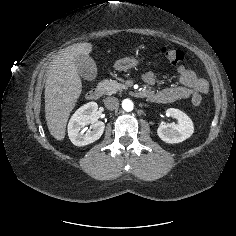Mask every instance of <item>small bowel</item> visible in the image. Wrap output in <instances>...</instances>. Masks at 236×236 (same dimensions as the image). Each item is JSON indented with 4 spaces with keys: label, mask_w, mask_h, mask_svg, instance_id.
Wrapping results in <instances>:
<instances>
[{
    "label": "small bowel",
    "mask_w": 236,
    "mask_h": 236,
    "mask_svg": "<svg viewBox=\"0 0 236 236\" xmlns=\"http://www.w3.org/2000/svg\"><path fill=\"white\" fill-rule=\"evenodd\" d=\"M180 86H168L159 91L152 87L156 83V75L152 71L143 74V81L149 87L144 91V95L152 102L159 104H170L179 99L189 98L194 93L206 94L208 91L207 82L198 76L196 71L181 65L177 69Z\"/></svg>",
    "instance_id": "1"
}]
</instances>
